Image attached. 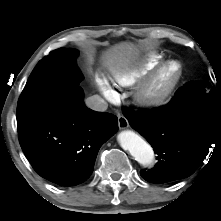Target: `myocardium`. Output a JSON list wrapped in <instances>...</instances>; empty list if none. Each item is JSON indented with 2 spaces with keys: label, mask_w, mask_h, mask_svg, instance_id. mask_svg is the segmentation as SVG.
Wrapping results in <instances>:
<instances>
[{
  "label": "myocardium",
  "mask_w": 221,
  "mask_h": 221,
  "mask_svg": "<svg viewBox=\"0 0 221 221\" xmlns=\"http://www.w3.org/2000/svg\"><path fill=\"white\" fill-rule=\"evenodd\" d=\"M171 66L177 67L172 81L164 88L157 89L156 82L162 73ZM183 66L178 60H170L159 65L148 77L142 80L135 89L134 100L143 108L152 109L165 104L174 94L183 78Z\"/></svg>",
  "instance_id": "f54148a6"
}]
</instances>
